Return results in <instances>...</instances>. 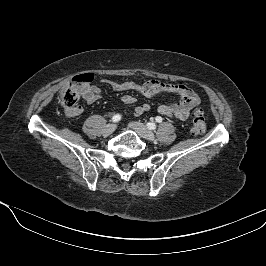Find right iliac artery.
I'll return each instance as SVG.
<instances>
[{"label":"right iliac artery","mask_w":266,"mask_h":266,"mask_svg":"<svg viewBox=\"0 0 266 266\" xmlns=\"http://www.w3.org/2000/svg\"><path fill=\"white\" fill-rule=\"evenodd\" d=\"M121 120V115L120 114H116L112 117V121L113 122H118Z\"/></svg>","instance_id":"right-iliac-artery-1"}]
</instances>
